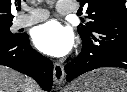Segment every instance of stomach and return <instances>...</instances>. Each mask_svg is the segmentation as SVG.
Listing matches in <instances>:
<instances>
[{"mask_svg":"<svg viewBox=\"0 0 127 92\" xmlns=\"http://www.w3.org/2000/svg\"><path fill=\"white\" fill-rule=\"evenodd\" d=\"M66 92H127V73L118 68H100L76 79Z\"/></svg>","mask_w":127,"mask_h":92,"instance_id":"0dacf381","label":"stomach"}]
</instances>
